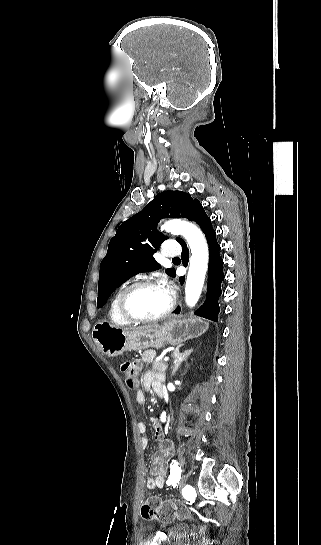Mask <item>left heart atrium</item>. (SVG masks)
<instances>
[{
  "mask_svg": "<svg viewBox=\"0 0 321 545\" xmlns=\"http://www.w3.org/2000/svg\"><path fill=\"white\" fill-rule=\"evenodd\" d=\"M163 288L167 291V293L172 296L174 294V287L171 285L170 282H168L166 279L162 281Z\"/></svg>",
  "mask_w": 321,
  "mask_h": 545,
  "instance_id": "left-heart-atrium-1",
  "label": "left heart atrium"
}]
</instances>
